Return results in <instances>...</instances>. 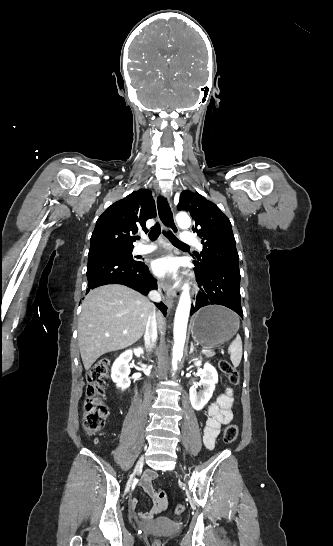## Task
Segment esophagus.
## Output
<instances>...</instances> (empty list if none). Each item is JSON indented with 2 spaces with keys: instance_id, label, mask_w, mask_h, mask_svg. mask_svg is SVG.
I'll use <instances>...</instances> for the list:
<instances>
[{
  "instance_id": "1",
  "label": "esophagus",
  "mask_w": 333,
  "mask_h": 546,
  "mask_svg": "<svg viewBox=\"0 0 333 546\" xmlns=\"http://www.w3.org/2000/svg\"><path fill=\"white\" fill-rule=\"evenodd\" d=\"M156 207H157V212L163 224L173 233L178 234L179 229L175 222V216H174V212H173V208H172L169 196L162 192L158 193L156 197ZM169 252L171 254H174L175 250L171 248ZM160 290H161V294L163 295L164 302L169 307H171L173 303V298L176 297L175 291L170 287L168 283L164 281H161L160 283Z\"/></svg>"
}]
</instances>
